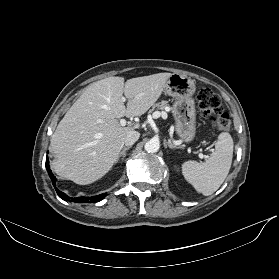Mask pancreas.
<instances>
[{
  "label": "pancreas",
  "instance_id": "1",
  "mask_svg": "<svg viewBox=\"0 0 279 279\" xmlns=\"http://www.w3.org/2000/svg\"><path fill=\"white\" fill-rule=\"evenodd\" d=\"M168 107V102L167 101H161V102H158L157 104H155L153 106V109L152 111L156 108V109H159V110H165L166 108Z\"/></svg>",
  "mask_w": 279,
  "mask_h": 279
}]
</instances>
